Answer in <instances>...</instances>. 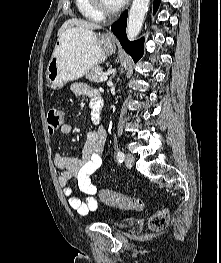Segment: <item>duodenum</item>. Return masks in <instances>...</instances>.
Listing matches in <instances>:
<instances>
[{"mask_svg":"<svg viewBox=\"0 0 221 263\" xmlns=\"http://www.w3.org/2000/svg\"><path fill=\"white\" fill-rule=\"evenodd\" d=\"M102 109V101L98 100L94 106L95 118L99 117L100 111Z\"/></svg>","mask_w":221,"mask_h":263,"instance_id":"duodenum-1","label":"duodenum"}]
</instances>
